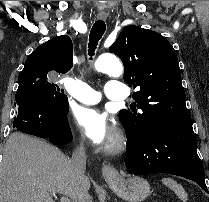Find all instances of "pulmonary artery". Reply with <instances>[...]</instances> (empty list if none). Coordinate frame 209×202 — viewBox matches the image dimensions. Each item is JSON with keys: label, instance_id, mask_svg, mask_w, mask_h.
<instances>
[{"label": "pulmonary artery", "instance_id": "e3ab8cb5", "mask_svg": "<svg viewBox=\"0 0 209 202\" xmlns=\"http://www.w3.org/2000/svg\"><path fill=\"white\" fill-rule=\"evenodd\" d=\"M68 89L69 93L78 101L85 104H95L100 101V94L92 87L82 82L75 80L74 82L60 81ZM107 92L106 95L110 100L123 101L127 98V92L118 79L106 80Z\"/></svg>", "mask_w": 209, "mask_h": 202}]
</instances>
